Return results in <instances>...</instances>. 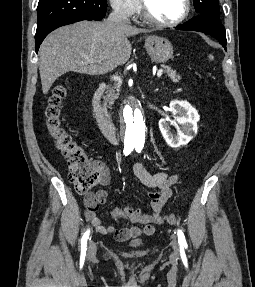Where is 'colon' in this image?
Returning <instances> with one entry per match:
<instances>
[{"instance_id":"obj_1","label":"colon","mask_w":255,"mask_h":287,"mask_svg":"<svg viewBox=\"0 0 255 287\" xmlns=\"http://www.w3.org/2000/svg\"><path fill=\"white\" fill-rule=\"evenodd\" d=\"M67 94L65 84L54 87L45 110V126L68 164V179L80 194H86L99 182V173L84 148L74 139L73 135L63 126L62 104ZM164 220L175 225L179 216L167 214Z\"/></svg>"}]
</instances>
